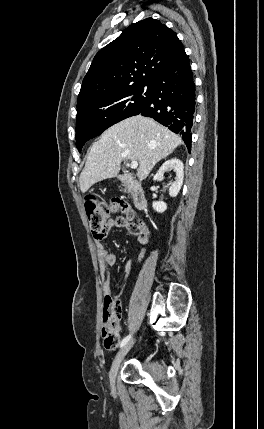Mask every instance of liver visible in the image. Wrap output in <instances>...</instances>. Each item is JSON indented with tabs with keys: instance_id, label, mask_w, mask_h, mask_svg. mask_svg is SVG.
Masks as SVG:
<instances>
[{
	"instance_id": "obj_1",
	"label": "liver",
	"mask_w": 264,
	"mask_h": 429,
	"mask_svg": "<svg viewBox=\"0 0 264 429\" xmlns=\"http://www.w3.org/2000/svg\"><path fill=\"white\" fill-rule=\"evenodd\" d=\"M182 144V139L151 118L136 115L108 128L88 154L79 182L82 193L95 183L116 177L123 160L138 161L137 177L147 178L161 159Z\"/></svg>"
}]
</instances>
